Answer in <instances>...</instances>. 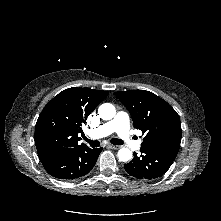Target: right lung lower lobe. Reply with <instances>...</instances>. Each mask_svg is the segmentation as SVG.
Here are the masks:
<instances>
[{
	"instance_id": "right-lung-lower-lobe-1",
	"label": "right lung lower lobe",
	"mask_w": 221,
	"mask_h": 221,
	"mask_svg": "<svg viewBox=\"0 0 221 221\" xmlns=\"http://www.w3.org/2000/svg\"><path fill=\"white\" fill-rule=\"evenodd\" d=\"M101 148L85 145L59 148L39 155L45 170L52 176L63 180H74L86 175L94 167Z\"/></svg>"
}]
</instances>
